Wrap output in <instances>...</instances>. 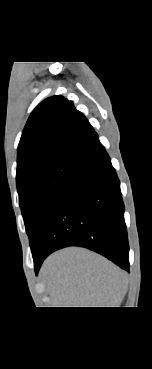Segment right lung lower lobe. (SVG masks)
I'll return each mask as SVG.
<instances>
[{"mask_svg":"<svg viewBox=\"0 0 152 369\" xmlns=\"http://www.w3.org/2000/svg\"><path fill=\"white\" fill-rule=\"evenodd\" d=\"M80 246L129 270V246L120 182L99 142L76 163L33 251L35 272L53 251Z\"/></svg>","mask_w":152,"mask_h":369,"instance_id":"right-lung-lower-lobe-1","label":"right lung lower lobe"}]
</instances>
